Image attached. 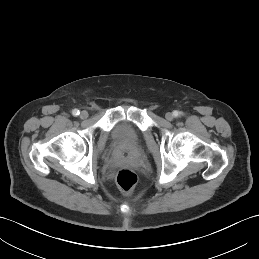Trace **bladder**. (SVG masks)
Here are the masks:
<instances>
[{"label": "bladder", "instance_id": "bladder-1", "mask_svg": "<svg viewBox=\"0 0 259 259\" xmlns=\"http://www.w3.org/2000/svg\"><path fill=\"white\" fill-rule=\"evenodd\" d=\"M139 132L129 123L120 122L114 126L111 132V140L114 148L121 154H130L140 144Z\"/></svg>", "mask_w": 259, "mask_h": 259}]
</instances>
